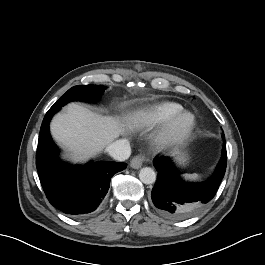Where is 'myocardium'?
Here are the masks:
<instances>
[{"instance_id":"1","label":"myocardium","mask_w":265,"mask_h":265,"mask_svg":"<svg viewBox=\"0 0 265 265\" xmlns=\"http://www.w3.org/2000/svg\"><path fill=\"white\" fill-rule=\"evenodd\" d=\"M195 126V115L190 111L181 110L164 122L158 140L162 144H179L190 136Z\"/></svg>"}]
</instances>
